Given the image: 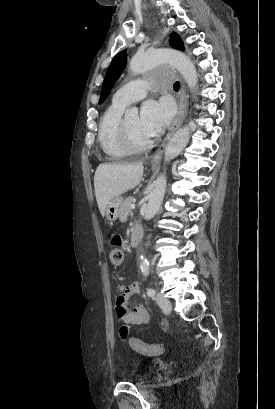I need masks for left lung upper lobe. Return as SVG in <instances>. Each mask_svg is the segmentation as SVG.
<instances>
[{"label": "left lung upper lobe", "instance_id": "1", "mask_svg": "<svg viewBox=\"0 0 275 409\" xmlns=\"http://www.w3.org/2000/svg\"><path fill=\"white\" fill-rule=\"evenodd\" d=\"M170 45L178 50H184L183 41L180 36L173 32L170 34ZM127 61V53L126 51L119 52L112 60L110 66L108 67L106 77L104 79L102 88H101V96L99 100V104H101L105 98L109 95L111 89L114 86V82L119 78L121 73L123 72Z\"/></svg>", "mask_w": 275, "mask_h": 409}]
</instances>
